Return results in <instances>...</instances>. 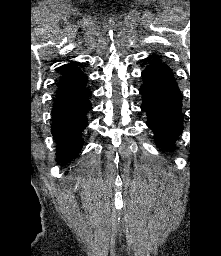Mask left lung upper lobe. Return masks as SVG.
Segmentation results:
<instances>
[{"label":"left lung upper lobe","mask_w":221,"mask_h":256,"mask_svg":"<svg viewBox=\"0 0 221 256\" xmlns=\"http://www.w3.org/2000/svg\"><path fill=\"white\" fill-rule=\"evenodd\" d=\"M150 57H153V59L151 60V62H152L151 65L156 64V63H161V61L155 55L150 56Z\"/></svg>","instance_id":"5c2ea615"}]
</instances>
